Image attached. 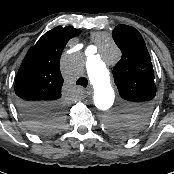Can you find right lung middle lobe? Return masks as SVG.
<instances>
[{"label": "right lung middle lobe", "mask_w": 174, "mask_h": 174, "mask_svg": "<svg viewBox=\"0 0 174 174\" xmlns=\"http://www.w3.org/2000/svg\"><path fill=\"white\" fill-rule=\"evenodd\" d=\"M29 127L36 133L47 134L56 130L61 124L60 110H52L44 117L38 116L34 121H27Z\"/></svg>", "instance_id": "dd1d6c3e"}]
</instances>
